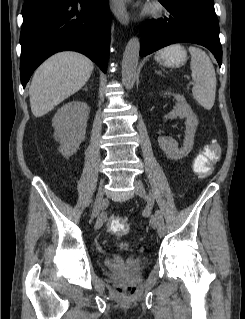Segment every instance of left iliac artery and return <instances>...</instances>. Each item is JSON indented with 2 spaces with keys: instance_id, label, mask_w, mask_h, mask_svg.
<instances>
[{
  "instance_id": "obj_1",
  "label": "left iliac artery",
  "mask_w": 245,
  "mask_h": 319,
  "mask_svg": "<svg viewBox=\"0 0 245 319\" xmlns=\"http://www.w3.org/2000/svg\"><path fill=\"white\" fill-rule=\"evenodd\" d=\"M155 215H156V218H157L158 231L162 232V233H165L164 220H163L161 212L159 210H157Z\"/></svg>"
}]
</instances>
